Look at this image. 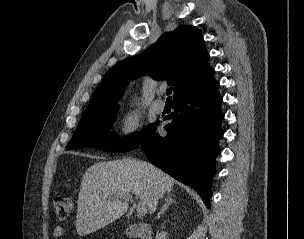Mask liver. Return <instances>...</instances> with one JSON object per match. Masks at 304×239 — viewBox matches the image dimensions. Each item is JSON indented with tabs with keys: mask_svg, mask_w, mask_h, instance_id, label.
Masks as SVG:
<instances>
[{
	"mask_svg": "<svg viewBox=\"0 0 304 239\" xmlns=\"http://www.w3.org/2000/svg\"><path fill=\"white\" fill-rule=\"evenodd\" d=\"M173 184L172 177L146 161L127 158L96 162L82 177L76 230L85 236L120 218L128 203L113 198L119 193H133L154 213L158 199L170 192Z\"/></svg>",
	"mask_w": 304,
	"mask_h": 239,
	"instance_id": "liver-1",
	"label": "liver"
}]
</instances>
